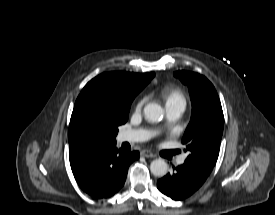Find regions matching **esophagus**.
Wrapping results in <instances>:
<instances>
[{
  "instance_id": "34e87169",
  "label": "esophagus",
  "mask_w": 275,
  "mask_h": 215,
  "mask_svg": "<svg viewBox=\"0 0 275 215\" xmlns=\"http://www.w3.org/2000/svg\"><path fill=\"white\" fill-rule=\"evenodd\" d=\"M140 154H141V156H143V157H146V158H153L155 155L151 152V151H149V150H142L141 152H140Z\"/></svg>"
}]
</instances>
